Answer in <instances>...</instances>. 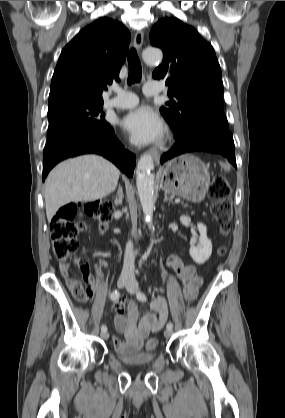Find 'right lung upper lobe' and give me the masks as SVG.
Masks as SVG:
<instances>
[{"instance_id":"obj_1","label":"right lung upper lobe","mask_w":285,"mask_h":418,"mask_svg":"<svg viewBox=\"0 0 285 418\" xmlns=\"http://www.w3.org/2000/svg\"><path fill=\"white\" fill-rule=\"evenodd\" d=\"M129 42V30L106 17L81 30L60 54L48 105L71 100L103 102L106 85L119 81Z\"/></svg>"}]
</instances>
